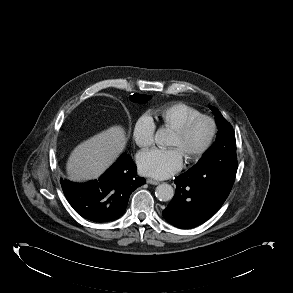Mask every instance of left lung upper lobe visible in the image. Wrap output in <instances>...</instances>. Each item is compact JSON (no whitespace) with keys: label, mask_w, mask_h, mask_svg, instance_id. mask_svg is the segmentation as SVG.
<instances>
[{"label":"left lung upper lobe","mask_w":293,"mask_h":293,"mask_svg":"<svg viewBox=\"0 0 293 293\" xmlns=\"http://www.w3.org/2000/svg\"><path fill=\"white\" fill-rule=\"evenodd\" d=\"M214 113L218 126V135L215 143L203 154L196 168L218 167L237 162L235 133L230 123L221 115L220 111L209 106Z\"/></svg>","instance_id":"5c2ea615"}]
</instances>
